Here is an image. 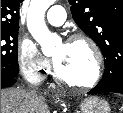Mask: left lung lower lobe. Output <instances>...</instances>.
I'll list each match as a JSON object with an SVG mask.
<instances>
[{
    "instance_id": "left-lung-lower-lobe-1",
    "label": "left lung lower lobe",
    "mask_w": 123,
    "mask_h": 113,
    "mask_svg": "<svg viewBox=\"0 0 123 113\" xmlns=\"http://www.w3.org/2000/svg\"><path fill=\"white\" fill-rule=\"evenodd\" d=\"M106 92L123 93V80L119 81L118 83H116L111 87L98 83V85L95 88H93L91 91H89L88 94L96 95Z\"/></svg>"
}]
</instances>
